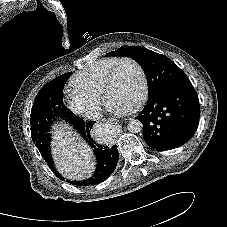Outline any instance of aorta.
Wrapping results in <instances>:
<instances>
[{
	"label": "aorta",
	"instance_id": "aorta-1",
	"mask_svg": "<svg viewBox=\"0 0 227 227\" xmlns=\"http://www.w3.org/2000/svg\"><path fill=\"white\" fill-rule=\"evenodd\" d=\"M127 127L131 133H139L143 129V124L138 119H131Z\"/></svg>",
	"mask_w": 227,
	"mask_h": 227
}]
</instances>
